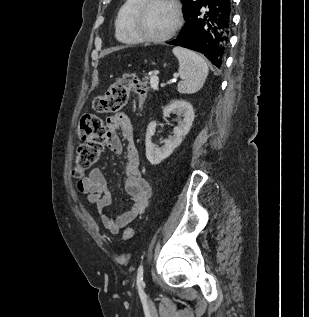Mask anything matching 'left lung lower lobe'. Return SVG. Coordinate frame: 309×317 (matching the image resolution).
<instances>
[{
	"mask_svg": "<svg viewBox=\"0 0 309 317\" xmlns=\"http://www.w3.org/2000/svg\"><path fill=\"white\" fill-rule=\"evenodd\" d=\"M232 8V0H203L184 14L185 26L168 44L200 52L216 67H222L229 42Z\"/></svg>",
	"mask_w": 309,
	"mask_h": 317,
	"instance_id": "1",
	"label": "left lung lower lobe"
}]
</instances>
